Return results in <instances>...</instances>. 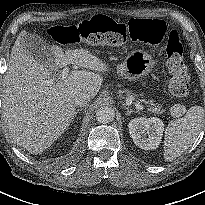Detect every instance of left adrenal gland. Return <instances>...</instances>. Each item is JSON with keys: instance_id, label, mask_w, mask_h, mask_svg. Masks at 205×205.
<instances>
[{"instance_id": "obj_1", "label": "left adrenal gland", "mask_w": 205, "mask_h": 205, "mask_svg": "<svg viewBox=\"0 0 205 205\" xmlns=\"http://www.w3.org/2000/svg\"><path fill=\"white\" fill-rule=\"evenodd\" d=\"M124 108L126 109V115H130L131 113H137L139 111H134L132 109H130L129 107L127 106H124Z\"/></svg>"}]
</instances>
